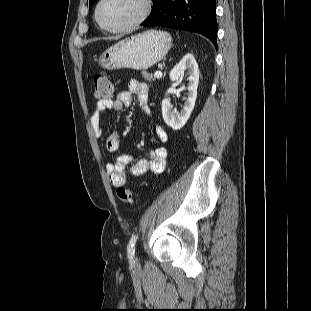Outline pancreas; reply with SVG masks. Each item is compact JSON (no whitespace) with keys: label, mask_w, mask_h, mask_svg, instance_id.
Masks as SVG:
<instances>
[{"label":"pancreas","mask_w":311,"mask_h":311,"mask_svg":"<svg viewBox=\"0 0 311 311\" xmlns=\"http://www.w3.org/2000/svg\"><path fill=\"white\" fill-rule=\"evenodd\" d=\"M142 77L148 81V82H151V81H155V79L153 78V76L149 73H147L146 71H143L142 72Z\"/></svg>","instance_id":"cf45deb5"}]
</instances>
